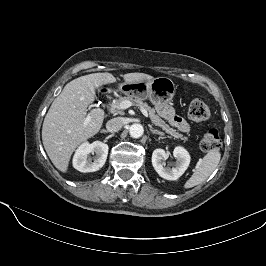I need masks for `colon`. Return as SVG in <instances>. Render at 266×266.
<instances>
[{
    "instance_id": "colon-1",
    "label": "colon",
    "mask_w": 266,
    "mask_h": 266,
    "mask_svg": "<svg viewBox=\"0 0 266 266\" xmlns=\"http://www.w3.org/2000/svg\"><path fill=\"white\" fill-rule=\"evenodd\" d=\"M211 112L206 103L200 99H194L189 104L188 116L194 122H204L210 118ZM221 147V139L217 129H208L201 137L200 148L204 152L218 150Z\"/></svg>"
}]
</instances>
